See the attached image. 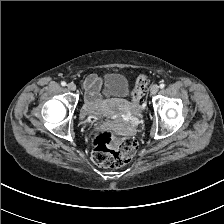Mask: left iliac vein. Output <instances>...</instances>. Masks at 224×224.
<instances>
[{
	"instance_id": "obj_1",
	"label": "left iliac vein",
	"mask_w": 224,
	"mask_h": 224,
	"mask_svg": "<svg viewBox=\"0 0 224 224\" xmlns=\"http://www.w3.org/2000/svg\"><path fill=\"white\" fill-rule=\"evenodd\" d=\"M158 90H159V86L157 84H153L150 88V93L152 95H155L158 92Z\"/></svg>"
}]
</instances>
